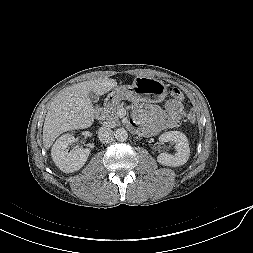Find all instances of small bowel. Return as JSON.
Masks as SVG:
<instances>
[{"label": "small bowel", "instance_id": "c3829d8e", "mask_svg": "<svg viewBox=\"0 0 253 253\" xmlns=\"http://www.w3.org/2000/svg\"><path fill=\"white\" fill-rule=\"evenodd\" d=\"M133 112L132 125L141 126L147 134H157L173 128L185 116L182 103L176 100H169L164 109L147 103H136Z\"/></svg>", "mask_w": 253, "mask_h": 253}]
</instances>
